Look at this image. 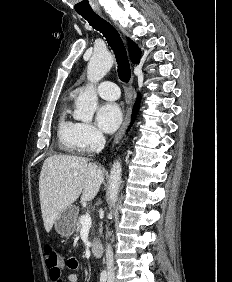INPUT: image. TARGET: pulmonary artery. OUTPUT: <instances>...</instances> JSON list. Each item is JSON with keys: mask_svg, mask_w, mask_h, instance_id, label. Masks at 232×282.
Returning <instances> with one entry per match:
<instances>
[{"mask_svg": "<svg viewBox=\"0 0 232 282\" xmlns=\"http://www.w3.org/2000/svg\"><path fill=\"white\" fill-rule=\"evenodd\" d=\"M82 88L77 89L75 92H78ZM97 93L100 97L106 100H116L120 96V90L118 86L110 81L101 82L97 88Z\"/></svg>", "mask_w": 232, "mask_h": 282, "instance_id": "pulmonary-artery-1", "label": "pulmonary artery"}]
</instances>
